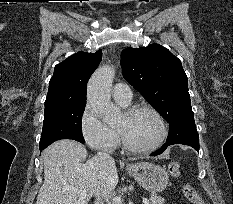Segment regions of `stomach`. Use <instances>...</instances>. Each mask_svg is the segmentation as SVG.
I'll return each mask as SVG.
<instances>
[{"label":"stomach","instance_id":"0dacf381","mask_svg":"<svg viewBox=\"0 0 233 204\" xmlns=\"http://www.w3.org/2000/svg\"><path fill=\"white\" fill-rule=\"evenodd\" d=\"M127 170L144 189L152 194L163 191L169 181L166 170L153 163L132 164L127 167Z\"/></svg>","mask_w":233,"mask_h":204}]
</instances>
